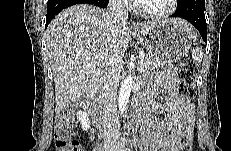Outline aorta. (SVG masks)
Masks as SVG:
<instances>
[{
    "mask_svg": "<svg viewBox=\"0 0 231 151\" xmlns=\"http://www.w3.org/2000/svg\"><path fill=\"white\" fill-rule=\"evenodd\" d=\"M132 82L133 78L131 75H128L121 86L120 92H119V99H118V106L120 113L124 116V112L126 111V106L129 101L131 89H132Z\"/></svg>",
    "mask_w": 231,
    "mask_h": 151,
    "instance_id": "aorta-1",
    "label": "aorta"
}]
</instances>
